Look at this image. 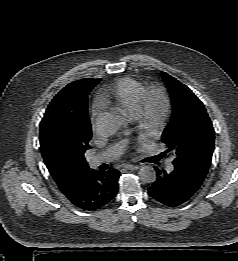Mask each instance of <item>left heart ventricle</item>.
<instances>
[{
    "label": "left heart ventricle",
    "instance_id": "left-heart-ventricle-1",
    "mask_svg": "<svg viewBox=\"0 0 238 261\" xmlns=\"http://www.w3.org/2000/svg\"><path fill=\"white\" fill-rule=\"evenodd\" d=\"M161 108V101L158 97L152 99V111L153 114H157Z\"/></svg>",
    "mask_w": 238,
    "mask_h": 261
}]
</instances>
